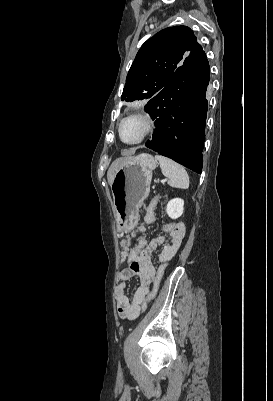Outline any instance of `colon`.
I'll use <instances>...</instances> for the list:
<instances>
[{"label": "colon", "mask_w": 273, "mask_h": 401, "mask_svg": "<svg viewBox=\"0 0 273 401\" xmlns=\"http://www.w3.org/2000/svg\"><path fill=\"white\" fill-rule=\"evenodd\" d=\"M141 279H142L143 282H150L151 279H152V276H151L150 273H143L142 276H141Z\"/></svg>", "instance_id": "5ec220e1"}]
</instances>
